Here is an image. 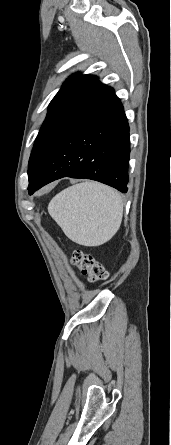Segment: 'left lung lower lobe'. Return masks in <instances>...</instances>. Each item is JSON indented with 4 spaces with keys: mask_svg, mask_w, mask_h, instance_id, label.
Returning <instances> with one entry per match:
<instances>
[{
    "mask_svg": "<svg viewBox=\"0 0 171 445\" xmlns=\"http://www.w3.org/2000/svg\"><path fill=\"white\" fill-rule=\"evenodd\" d=\"M129 126L119 98L102 100L62 137L35 177L32 194L62 177L87 178L126 193L129 165Z\"/></svg>",
    "mask_w": 171,
    "mask_h": 445,
    "instance_id": "1",
    "label": "left lung lower lobe"
}]
</instances>
